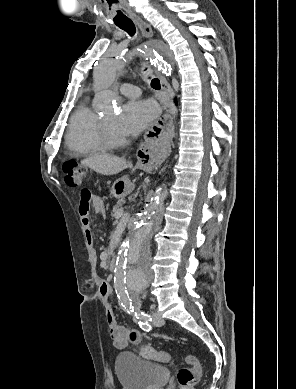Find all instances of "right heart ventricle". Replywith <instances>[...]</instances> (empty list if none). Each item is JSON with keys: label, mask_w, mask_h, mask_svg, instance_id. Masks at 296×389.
I'll return each mask as SVG.
<instances>
[{"label": "right heart ventricle", "mask_w": 296, "mask_h": 389, "mask_svg": "<svg viewBox=\"0 0 296 389\" xmlns=\"http://www.w3.org/2000/svg\"><path fill=\"white\" fill-rule=\"evenodd\" d=\"M100 117L86 104L81 105L72 115L66 133L67 148L75 155L91 156L107 149L100 136Z\"/></svg>", "instance_id": "e07e8e85"}]
</instances>
